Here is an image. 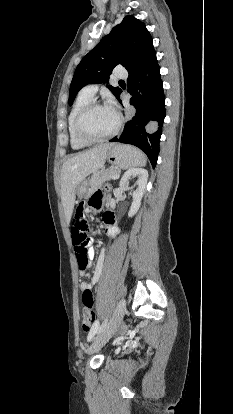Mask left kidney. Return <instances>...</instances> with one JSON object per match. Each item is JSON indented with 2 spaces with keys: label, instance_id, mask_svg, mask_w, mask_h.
Instances as JSON below:
<instances>
[{
  "label": "left kidney",
  "instance_id": "left-kidney-1",
  "mask_svg": "<svg viewBox=\"0 0 233 414\" xmlns=\"http://www.w3.org/2000/svg\"><path fill=\"white\" fill-rule=\"evenodd\" d=\"M132 176L133 177H135V176L138 177V186H137L136 190L132 192L133 201H132L130 210L128 212L129 217L134 216L140 208L141 200H142L143 194L145 192L146 184H147L148 172H147V170L142 169V168L129 169L122 176V178L120 180V183H119V186L122 189H126V184L129 180V178L132 177Z\"/></svg>",
  "mask_w": 233,
  "mask_h": 414
}]
</instances>
